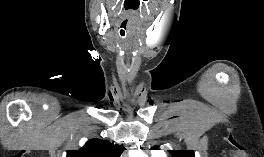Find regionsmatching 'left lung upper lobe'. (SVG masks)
Instances as JSON below:
<instances>
[{
	"label": "left lung upper lobe",
	"instance_id": "1",
	"mask_svg": "<svg viewBox=\"0 0 264 157\" xmlns=\"http://www.w3.org/2000/svg\"><path fill=\"white\" fill-rule=\"evenodd\" d=\"M170 152L173 157H195L193 150H170Z\"/></svg>",
	"mask_w": 264,
	"mask_h": 157
}]
</instances>
